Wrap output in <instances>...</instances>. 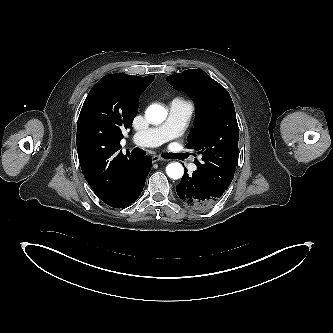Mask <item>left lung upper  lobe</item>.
I'll list each match as a JSON object with an SVG mask.
<instances>
[{"mask_svg": "<svg viewBox=\"0 0 333 333\" xmlns=\"http://www.w3.org/2000/svg\"><path fill=\"white\" fill-rule=\"evenodd\" d=\"M167 81L191 95L197 104L195 129L191 130L186 144L188 149L202 154L201 162L194 161L196 171L227 189L239 157V128L228 91L198 69L172 74Z\"/></svg>", "mask_w": 333, "mask_h": 333, "instance_id": "5c2ea615", "label": "left lung upper lobe"}]
</instances>
